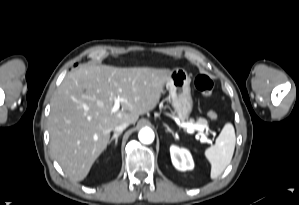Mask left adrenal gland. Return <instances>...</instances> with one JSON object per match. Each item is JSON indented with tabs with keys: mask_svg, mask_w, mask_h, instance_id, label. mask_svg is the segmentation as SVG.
Listing matches in <instances>:
<instances>
[{
	"mask_svg": "<svg viewBox=\"0 0 299 205\" xmlns=\"http://www.w3.org/2000/svg\"><path fill=\"white\" fill-rule=\"evenodd\" d=\"M164 126L166 127L167 132H170L173 136H175L174 132L170 129V127L167 124H164Z\"/></svg>",
	"mask_w": 299,
	"mask_h": 205,
	"instance_id": "a2214340",
	"label": "left adrenal gland"
}]
</instances>
